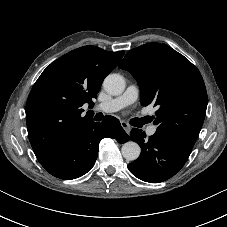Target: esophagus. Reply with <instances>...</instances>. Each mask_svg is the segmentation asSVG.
Segmentation results:
<instances>
[{"instance_id":"obj_1","label":"esophagus","mask_w":227,"mask_h":227,"mask_svg":"<svg viewBox=\"0 0 227 227\" xmlns=\"http://www.w3.org/2000/svg\"><path fill=\"white\" fill-rule=\"evenodd\" d=\"M121 126L123 127V129L126 131L127 134L130 133L131 127L127 122L121 121Z\"/></svg>"}]
</instances>
